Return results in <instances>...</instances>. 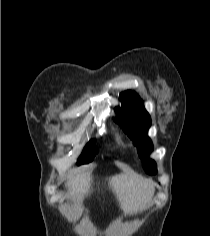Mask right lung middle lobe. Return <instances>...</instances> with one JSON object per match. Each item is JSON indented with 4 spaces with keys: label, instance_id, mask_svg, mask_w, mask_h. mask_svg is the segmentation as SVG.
Returning a JSON list of instances; mask_svg holds the SVG:
<instances>
[{
    "label": "right lung middle lobe",
    "instance_id": "right-lung-middle-lobe-1",
    "mask_svg": "<svg viewBox=\"0 0 210 236\" xmlns=\"http://www.w3.org/2000/svg\"><path fill=\"white\" fill-rule=\"evenodd\" d=\"M98 152V149L94 145L93 141H90L84 148L82 155L78 158L77 165L88 163L93 160L94 155Z\"/></svg>",
    "mask_w": 210,
    "mask_h": 236
}]
</instances>
